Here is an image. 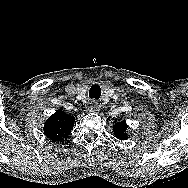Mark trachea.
Here are the masks:
<instances>
[{"mask_svg":"<svg viewBox=\"0 0 188 188\" xmlns=\"http://www.w3.org/2000/svg\"><path fill=\"white\" fill-rule=\"evenodd\" d=\"M101 96V88L99 85H92L89 90V97L92 99H99Z\"/></svg>","mask_w":188,"mask_h":188,"instance_id":"3493384b","label":"trachea"}]
</instances>
